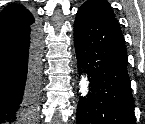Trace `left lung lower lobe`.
I'll return each mask as SVG.
<instances>
[{
  "mask_svg": "<svg viewBox=\"0 0 145 124\" xmlns=\"http://www.w3.org/2000/svg\"><path fill=\"white\" fill-rule=\"evenodd\" d=\"M74 42L78 62L90 81V92L78 103L77 124H136L127 52L117 21L80 7Z\"/></svg>",
  "mask_w": 145,
  "mask_h": 124,
  "instance_id": "obj_1",
  "label": "left lung lower lobe"
}]
</instances>
